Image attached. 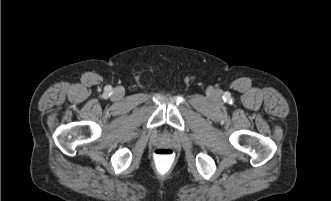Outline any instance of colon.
<instances>
[{
	"label": "colon",
	"instance_id": "colon-1",
	"mask_svg": "<svg viewBox=\"0 0 331 201\" xmlns=\"http://www.w3.org/2000/svg\"><path fill=\"white\" fill-rule=\"evenodd\" d=\"M153 164L160 175L169 174L176 164V153L170 147H158L153 152Z\"/></svg>",
	"mask_w": 331,
	"mask_h": 201
}]
</instances>
